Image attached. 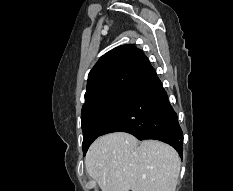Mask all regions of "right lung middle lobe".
Instances as JSON below:
<instances>
[{"label":"right lung middle lobe","instance_id":"dd1d6c3e","mask_svg":"<svg viewBox=\"0 0 233 191\" xmlns=\"http://www.w3.org/2000/svg\"><path fill=\"white\" fill-rule=\"evenodd\" d=\"M128 96V90L114 93L82 108V148L84 155L91 143L100 135L101 131L126 105Z\"/></svg>","mask_w":233,"mask_h":191}]
</instances>
